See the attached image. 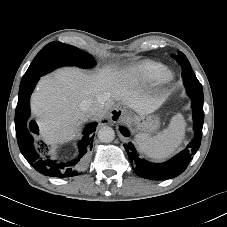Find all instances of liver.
I'll return each mask as SVG.
<instances>
[{"mask_svg": "<svg viewBox=\"0 0 227 227\" xmlns=\"http://www.w3.org/2000/svg\"><path fill=\"white\" fill-rule=\"evenodd\" d=\"M134 76L109 67L88 73L75 67L58 69L53 76L42 78L31 97V109L40 132L48 143L71 139L87 118L81 104L91 99L104 106L103 116L114 101H122L139 115L151 114L164 99L142 96L135 90Z\"/></svg>", "mask_w": 227, "mask_h": 227, "instance_id": "liver-1", "label": "liver"}]
</instances>
